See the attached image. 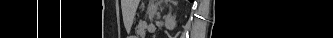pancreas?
<instances>
[{
    "label": "pancreas",
    "instance_id": "obj_1",
    "mask_svg": "<svg viewBox=\"0 0 333 38\" xmlns=\"http://www.w3.org/2000/svg\"><path fill=\"white\" fill-rule=\"evenodd\" d=\"M144 29H145V24H144V23H141V24L139 25V33H140L141 35L144 34Z\"/></svg>",
    "mask_w": 333,
    "mask_h": 38
}]
</instances>
